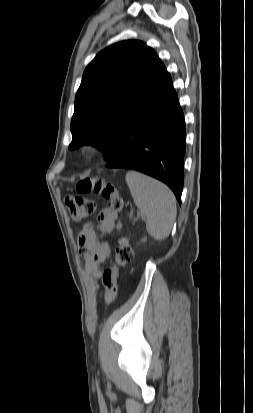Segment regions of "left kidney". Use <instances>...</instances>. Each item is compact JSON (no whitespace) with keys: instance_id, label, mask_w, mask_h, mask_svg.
I'll list each match as a JSON object with an SVG mask.
<instances>
[{"instance_id":"obj_1","label":"left kidney","mask_w":253,"mask_h":413,"mask_svg":"<svg viewBox=\"0 0 253 413\" xmlns=\"http://www.w3.org/2000/svg\"><path fill=\"white\" fill-rule=\"evenodd\" d=\"M142 241H143V242L146 241V238H143Z\"/></svg>"}]
</instances>
